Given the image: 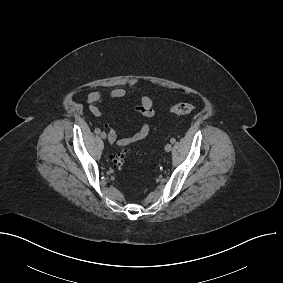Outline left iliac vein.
I'll list each match as a JSON object with an SVG mask.
<instances>
[{
	"mask_svg": "<svg viewBox=\"0 0 283 283\" xmlns=\"http://www.w3.org/2000/svg\"><path fill=\"white\" fill-rule=\"evenodd\" d=\"M171 149H172V144H170V143L166 144V146H165V151H166V152H170Z\"/></svg>",
	"mask_w": 283,
	"mask_h": 283,
	"instance_id": "4c4485c4",
	"label": "left iliac vein"
}]
</instances>
